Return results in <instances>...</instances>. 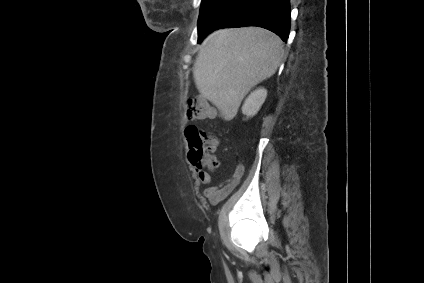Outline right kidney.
<instances>
[{
	"label": "right kidney",
	"mask_w": 424,
	"mask_h": 283,
	"mask_svg": "<svg viewBox=\"0 0 424 283\" xmlns=\"http://www.w3.org/2000/svg\"><path fill=\"white\" fill-rule=\"evenodd\" d=\"M267 97V90L258 88L247 97L242 107V112L247 117H252L260 110Z\"/></svg>",
	"instance_id": "obj_1"
}]
</instances>
